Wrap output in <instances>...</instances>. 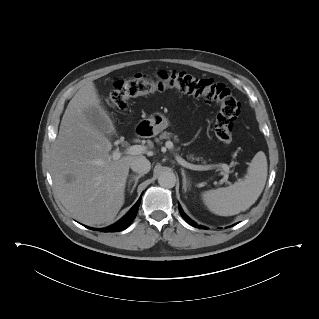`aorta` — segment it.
Instances as JSON below:
<instances>
[{
	"label": "aorta",
	"mask_w": 319,
	"mask_h": 319,
	"mask_svg": "<svg viewBox=\"0 0 319 319\" xmlns=\"http://www.w3.org/2000/svg\"><path fill=\"white\" fill-rule=\"evenodd\" d=\"M158 183L163 188H173L176 184V176L173 172L164 171L159 175Z\"/></svg>",
	"instance_id": "obj_1"
}]
</instances>
